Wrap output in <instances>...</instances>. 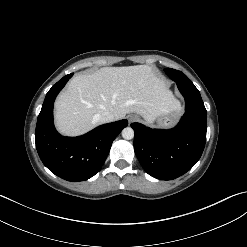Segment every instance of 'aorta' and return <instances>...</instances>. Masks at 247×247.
Wrapping results in <instances>:
<instances>
[{
    "label": "aorta",
    "instance_id": "762f6f07",
    "mask_svg": "<svg viewBox=\"0 0 247 247\" xmlns=\"http://www.w3.org/2000/svg\"><path fill=\"white\" fill-rule=\"evenodd\" d=\"M122 137L126 140H131L134 137V130L131 127H126L122 130Z\"/></svg>",
    "mask_w": 247,
    "mask_h": 247
}]
</instances>
